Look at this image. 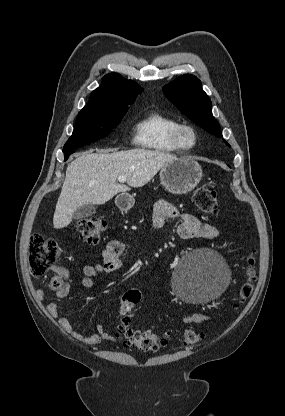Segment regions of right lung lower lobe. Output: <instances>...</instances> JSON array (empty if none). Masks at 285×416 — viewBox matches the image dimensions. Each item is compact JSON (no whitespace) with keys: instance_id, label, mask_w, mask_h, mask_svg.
Returning a JSON list of instances; mask_svg holds the SVG:
<instances>
[{"instance_id":"1","label":"right lung lower lobe","mask_w":285,"mask_h":416,"mask_svg":"<svg viewBox=\"0 0 285 416\" xmlns=\"http://www.w3.org/2000/svg\"><path fill=\"white\" fill-rule=\"evenodd\" d=\"M74 153V151L70 150V151H65L64 152V160L66 161L69 157L70 154Z\"/></svg>"}]
</instances>
